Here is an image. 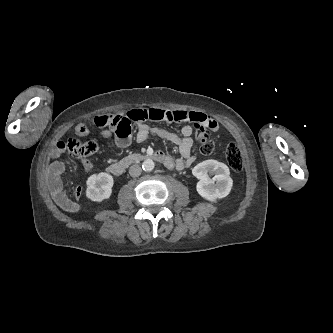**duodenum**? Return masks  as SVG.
<instances>
[{
  "label": "duodenum",
  "instance_id": "1",
  "mask_svg": "<svg viewBox=\"0 0 333 333\" xmlns=\"http://www.w3.org/2000/svg\"><path fill=\"white\" fill-rule=\"evenodd\" d=\"M148 159L155 160L163 164H165L167 161V157L161 152L131 154L120 161L111 163L107 167V171L115 176H120L124 174L127 168L131 165L143 162Z\"/></svg>",
  "mask_w": 333,
  "mask_h": 333
}]
</instances>
